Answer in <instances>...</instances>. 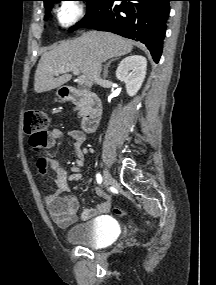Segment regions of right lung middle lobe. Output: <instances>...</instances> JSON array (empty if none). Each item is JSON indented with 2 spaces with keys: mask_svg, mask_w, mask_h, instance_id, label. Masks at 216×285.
Segmentation results:
<instances>
[{
  "mask_svg": "<svg viewBox=\"0 0 216 285\" xmlns=\"http://www.w3.org/2000/svg\"><path fill=\"white\" fill-rule=\"evenodd\" d=\"M57 1H63V0H50L46 3H44L45 9L47 11L46 18H48V16H49L48 12L52 8V3H55ZM79 1H86L87 2V13H86L85 17L80 22H78L76 25H74L73 27L70 28L71 31H74L75 29H78L79 27H81L83 25V23L93 14V12L97 8V6L101 0H79Z\"/></svg>",
  "mask_w": 216,
  "mask_h": 285,
  "instance_id": "obj_1",
  "label": "right lung middle lobe"
}]
</instances>
